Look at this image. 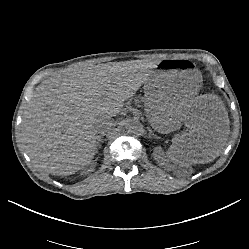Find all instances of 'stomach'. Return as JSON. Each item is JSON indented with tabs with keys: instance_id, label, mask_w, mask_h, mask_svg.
Returning <instances> with one entry per match:
<instances>
[{
	"instance_id": "0dacf381",
	"label": "stomach",
	"mask_w": 249,
	"mask_h": 249,
	"mask_svg": "<svg viewBox=\"0 0 249 249\" xmlns=\"http://www.w3.org/2000/svg\"><path fill=\"white\" fill-rule=\"evenodd\" d=\"M201 82L199 72L188 61L161 60L144 86L149 119L163 131L175 129L189 113V102Z\"/></svg>"
}]
</instances>
